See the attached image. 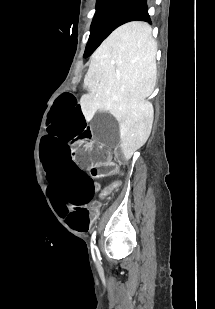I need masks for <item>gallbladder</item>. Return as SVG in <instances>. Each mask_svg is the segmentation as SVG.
<instances>
[{"instance_id": "bac80fb5", "label": "gallbladder", "mask_w": 215, "mask_h": 309, "mask_svg": "<svg viewBox=\"0 0 215 309\" xmlns=\"http://www.w3.org/2000/svg\"><path fill=\"white\" fill-rule=\"evenodd\" d=\"M91 130L104 148H118L120 135L114 115L95 113Z\"/></svg>"}]
</instances>
